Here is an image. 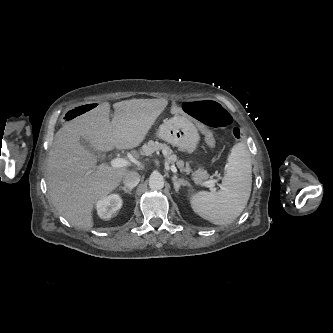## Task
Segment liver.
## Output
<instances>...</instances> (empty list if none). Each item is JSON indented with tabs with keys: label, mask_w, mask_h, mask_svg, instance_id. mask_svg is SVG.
<instances>
[{
	"label": "liver",
	"mask_w": 333,
	"mask_h": 333,
	"mask_svg": "<svg viewBox=\"0 0 333 333\" xmlns=\"http://www.w3.org/2000/svg\"><path fill=\"white\" fill-rule=\"evenodd\" d=\"M167 105L166 99L117 102L110 122V104L104 102L56 132L47 159V188L52 204L71 225L91 229L97 200L114 190L129 172L107 164L96 167L95 155L80 144V138L99 152L133 149L143 142Z\"/></svg>",
	"instance_id": "obj_1"
}]
</instances>
